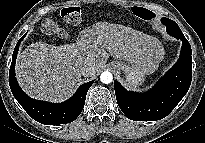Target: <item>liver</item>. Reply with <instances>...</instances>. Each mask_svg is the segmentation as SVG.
I'll list each match as a JSON object with an SVG mask.
<instances>
[{
    "label": "liver",
    "instance_id": "liver-1",
    "mask_svg": "<svg viewBox=\"0 0 205 143\" xmlns=\"http://www.w3.org/2000/svg\"><path fill=\"white\" fill-rule=\"evenodd\" d=\"M159 45L155 37L130 27L97 22L82 30L75 43L53 46L39 41L29 45L17 56L16 77L32 98L60 102L80 81L83 65H93L95 75L111 55L129 62L148 60L154 67Z\"/></svg>",
    "mask_w": 205,
    "mask_h": 143
}]
</instances>
